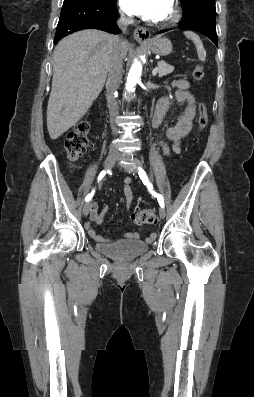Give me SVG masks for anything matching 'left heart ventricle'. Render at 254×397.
Instances as JSON below:
<instances>
[{
  "mask_svg": "<svg viewBox=\"0 0 254 397\" xmlns=\"http://www.w3.org/2000/svg\"><path fill=\"white\" fill-rule=\"evenodd\" d=\"M171 11H172V8H171V6L168 8V10L162 15V17L160 18V20H164V19H166L167 17H169L170 16V14H171Z\"/></svg>",
  "mask_w": 254,
  "mask_h": 397,
  "instance_id": "b2bd125f",
  "label": "left heart ventricle"
}]
</instances>
